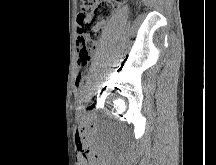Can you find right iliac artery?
<instances>
[{
    "label": "right iliac artery",
    "instance_id": "right-iliac-artery-1",
    "mask_svg": "<svg viewBox=\"0 0 216 165\" xmlns=\"http://www.w3.org/2000/svg\"><path fill=\"white\" fill-rule=\"evenodd\" d=\"M87 91H86V97L87 98H90L91 97V89L88 87L87 89H86ZM86 103V100L85 99H82L80 102H79V105L80 106H83L84 104Z\"/></svg>",
    "mask_w": 216,
    "mask_h": 165
}]
</instances>
